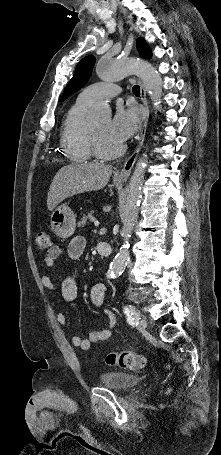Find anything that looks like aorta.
Here are the masks:
<instances>
[{"instance_id": "aorta-1", "label": "aorta", "mask_w": 221, "mask_h": 455, "mask_svg": "<svg viewBox=\"0 0 221 455\" xmlns=\"http://www.w3.org/2000/svg\"><path fill=\"white\" fill-rule=\"evenodd\" d=\"M97 75L103 81H118L125 77L137 74L141 77L144 87L148 92L154 106H158L162 97V79L158 71L148 62L128 57L117 60H103L97 66ZM111 115L110 106L101 101L97 103L89 113L91 122L99 121ZM146 156L141 157L130 178L126 203L124 205L121 219L123 227L121 236L123 245L115 256L109 268L111 277L118 276L126 267L129 254V239L131 237L135 220L138 215V208L142 197V187L146 171Z\"/></svg>"}]
</instances>
